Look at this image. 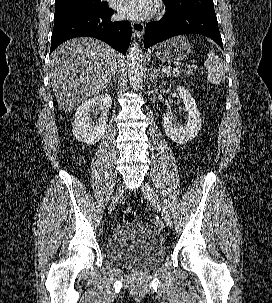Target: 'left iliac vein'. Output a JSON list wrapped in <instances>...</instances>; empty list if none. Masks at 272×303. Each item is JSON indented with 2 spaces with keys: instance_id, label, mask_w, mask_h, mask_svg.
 I'll return each instance as SVG.
<instances>
[{
  "instance_id": "left-iliac-vein-1",
  "label": "left iliac vein",
  "mask_w": 272,
  "mask_h": 303,
  "mask_svg": "<svg viewBox=\"0 0 272 303\" xmlns=\"http://www.w3.org/2000/svg\"><path fill=\"white\" fill-rule=\"evenodd\" d=\"M143 194L150 199L154 204L157 205V207L161 210L162 216L166 222V224L171 227L172 226V219L169 211L167 208L161 204L160 199L156 191L149 186L148 184H144L142 187Z\"/></svg>"
}]
</instances>
